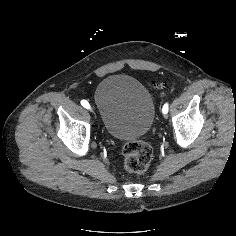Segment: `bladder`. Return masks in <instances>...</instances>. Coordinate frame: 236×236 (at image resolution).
<instances>
[{
    "mask_svg": "<svg viewBox=\"0 0 236 236\" xmlns=\"http://www.w3.org/2000/svg\"><path fill=\"white\" fill-rule=\"evenodd\" d=\"M95 109L104 131L120 141H134L150 129L155 106L148 90L135 78L111 75L100 82Z\"/></svg>",
    "mask_w": 236,
    "mask_h": 236,
    "instance_id": "bladder-1",
    "label": "bladder"
}]
</instances>
